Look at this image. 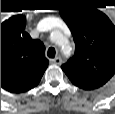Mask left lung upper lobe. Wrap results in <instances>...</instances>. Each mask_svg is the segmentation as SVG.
Returning a JSON list of instances; mask_svg holds the SVG:
<instances>
[{"label": "left lung upper lobe", "mask_w": 115, "mask_h": 114, "mask_svg": "<svg viewBox=\"0 0 115 114\" xmlns=\"http://www.w3.org/2000/svg\"><path fill=\"white\" fill-rule=\"evenodd\" d=\"M61 16L76 46L62 70L82 89L101 87L115 73V26L105 14L91 8L63 11Z\"/></svg>", "instance_id": "obj_1"}]
</instances>
